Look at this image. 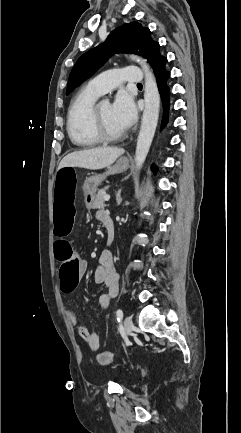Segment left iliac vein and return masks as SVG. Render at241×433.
I'll list each match as a JSON object with an SVG mask.
<instances>
[{
	"mask_svg": "<svg viewBox=\"0 0 241 433\" xmlns=\"http://www.w3.org/2000/svg\"><path fill=\"white\" fill-rule=\"evenodd\" d=\"M124 329H125V334L128 337L131 334L133 329V322L131 317L129 316H126L124 319Z\"/></svg>",
	"mask_w": 241,
	"mask_h": 433,
	"instance_id": "left-iliac-vein-1",
	"label": "left iliac vein"
}]
</instances>
